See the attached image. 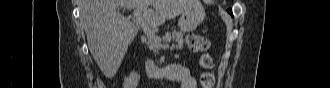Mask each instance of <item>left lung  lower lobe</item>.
I'll use <instances>...</instances> for the list:
<instances>
[{
	"label": "left lung lower lobe",
	"instance_id": "left-lung-lower-lobe-1",
	"mask_svg": "<svg viewBox=\"0 0 330 88\" xmlns=\"http://www.w3.org/2000/svg\"><path fill=\"white\" fill-rule=\"evenodd\" d=\"M228 12H229L230 14H232V11H231V9H229V10H228Z\"/></svg>",
	"mask_w": 330,
	"mask_h": 88
}]
</instances>
